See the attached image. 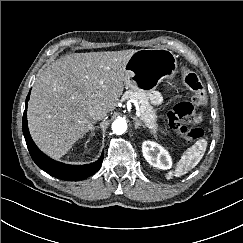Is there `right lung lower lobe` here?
<instances>
[{"instance_id":"obj_1","label":"right lung lower lobe","mask_w":243,"mask_h":243,"mask_svg":"<svg viewBox=\"0 0 243 243\" xmlns=\"http://www.w3.org/2000/svg\"><path fill=\"white\" fill-rule=\"evenodd\" d=\"M29 100V95L26 98L25 111L23 115V134L26 140V144L29 150V153L36 163V165L50 174L53 177L64 179V180H82L93 174H95L101 167L103 161V155L99 158L98 161L87 164V165H67L61 162L52 160L43 154L33 142L27 125V102Z\"/></svg>"}]
</instances>
